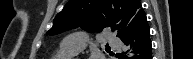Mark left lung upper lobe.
Listing matches in <instances>:
<instances>
[{"label": "left lung upper lobe", "mask_w": 193, "mask_h": 59, "mask_svg": "<svg viewBox=\"0 0 193 59\" xmlns=\"http://www.w3.org/2000/svg\"><path fill=\"white\" fill-rule=\"evenodd\" d=\"M142 11L139 0H69L54 18L47 34L55 35L77 27L89 32L111 28L120 37Z\"/></svg>", "instance_id": "left-lung-upper-lobe-1"}]
</instances>
